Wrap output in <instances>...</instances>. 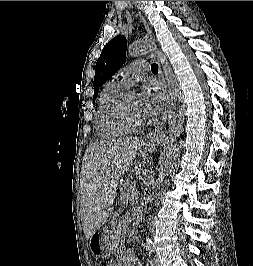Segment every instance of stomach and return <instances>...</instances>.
Masks as SVG:
<instances>
[{"label":"stomach","mask_w":253,"mask_h":266,"mask_svg":"<svg viewBox=\"0 0 253 266\" xmlns=\"http://www.w3.org/2000/svg\"><path fill=\"white\" fill-rule=\"evenodd\" d=\"M155 146L156 143L144 144L140 150L142 156L151 153ZM120 237L121 220L119 214L110 212L100 229L96 230L91 236L89 241L90 250L97 258H107L116 250Z\"/></svg>","instance_id":"stomach-1"}]
</instances>
